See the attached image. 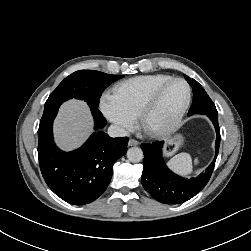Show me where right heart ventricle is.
<instances>
[{"instance_id": "right-heart-ventricle-1", "label": "right heart ventricle", "mask_w": 251, "mask_h": 251, "mask_svg": "<svg viewBox=\"0 0 251 251\" xmlns=\"http://www.w3.org/2000/svg\"><path fill=\"white\" fill-rule=\"evenodd\" d=\"M170 78L172 76L166 74L136 76L117 84L114 88V94L121 104L137 117L151 93Z\"/></svg>"}]
</instances>
